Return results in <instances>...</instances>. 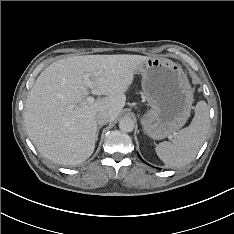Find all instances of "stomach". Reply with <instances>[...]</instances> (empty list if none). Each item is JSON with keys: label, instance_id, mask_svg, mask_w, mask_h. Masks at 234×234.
Instances as JSON below:
<instances>
[{"label": "stomach", "instance_id": "obj_1", "mask_svg": "<svg viewBox=\"0 0 234 234\" xmlns=\"http://www.w3.org/2000/svg\"><path fill=\"white\" fill-rule=\"evenodd\" d=\"M151 109L141 119L146 134L164 139L184 126L190 117L193 91L180 65L166 58H149L136 70Z\"/></svg>", "mask_w": 234, "mask_h": 234}]
</instances>
